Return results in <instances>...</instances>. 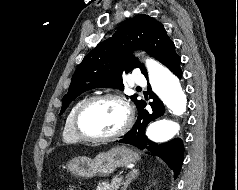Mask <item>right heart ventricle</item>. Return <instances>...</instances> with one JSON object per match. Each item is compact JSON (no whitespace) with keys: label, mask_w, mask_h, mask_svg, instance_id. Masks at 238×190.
Wrapping results in <instances>:
<instances>
[{"label":"right heart ventricle","mask_w":238,"mask_h":190,"mask_svg":"<svg viewBox=\"0 0 238 190\" xmlns=\"http://www.w3.org/2000/svg\"><path fill=\"white\" fill-rule=\"evenodd\" d=\"M85 99H80L78 100L70 109L65 124H64V128H63V132H62V137L63 140L67 143H74V142H78L80 141V138L77 136L75 130H74V126H73V119H74V115L75 112L77 110V108L81 105V103L84 101Z\"/></svg>","instance_id":"e07e8e85"}]
</instances>
